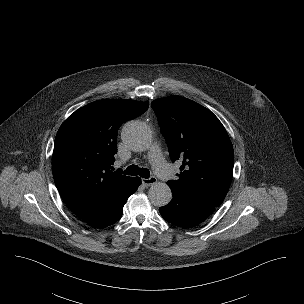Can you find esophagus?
<instances>
[{"label":"esophagus","instance_id":"1","mask_svg":"<svg viewBox=\"0 0 304 304\" xmlns=\"http://www.w3.org/2000/svg\"><path fill=\"white\" fill-rule=\"evenodd\" d=\"M155 183H157V178L156 177H154V176H151V177H149V178H144V179H142V184L144 185V186H151V185H153V184H155Z\"/></svg>","mask_w":304,"mask_h":304}]
</instances>
